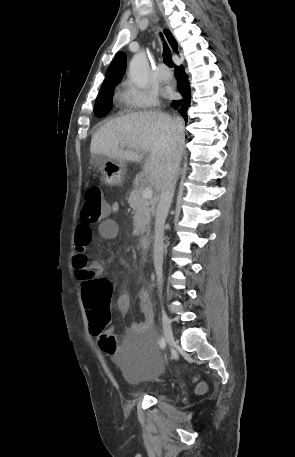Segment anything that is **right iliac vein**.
Instances as JSON below:
<instances>
[{
	"label": "right iliac vein",
	"instance_id": "right-iliac-vein-1",
	"mask_svg": "<svg viewBox=\"0 0 295 457\" xmlns=\"http://www.w3.org/2000/svg\"><path fill=\"white\" fill-rule=\"evenodd\" d=\"M162 325L166 343L171 346L174 344V336L171 328L170 319L168 318L164 310H162Z\"/></svg>",
	"mask_w": 295,
	"mask_h": 457
}]
</instances>
